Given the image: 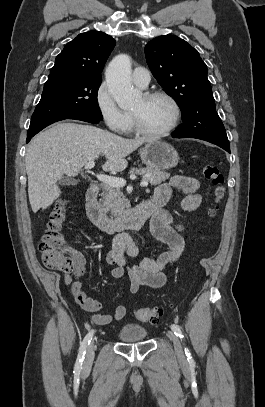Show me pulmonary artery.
<instances>
[{
	"instance_id": "obj_1",
	"label": "pulmonary artery",
	"mask_w": 265,
	"mask_h": 407,
	"mask_svg": "<svg viewBox=\"0 0 265 407\" xmlns=\"http://www.w3.org/2000/svg\"><path fill=\"white\" fill-rule=\"evenodd\" d=\"M133 83L140 87L146 88L150 82V72L143 67H136L132 73Z\"/></svg>"
}]
</instances>
